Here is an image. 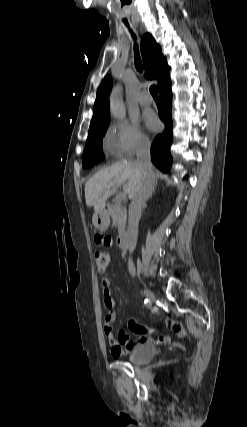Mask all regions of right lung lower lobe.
<instances>
[{
	"label": "right lung lower lobe",
	"mask_w": 247,
	"mask_h": 427,
	"mask_svg": "<svg viewBox=\"0 0 247 427\" xmlns=\"http://www.w3.org/2000/svg\"><path fill=\"white\" fill-rule=\"evenodd\" d=\"M159 117L165 124V130L158 135L151 146V160L161 171L167 172L170 167L172 157L170 155V145L172 143V117H171V80L163 84L159 89Z\"/></svg>",
	"instance_id": "right-lung-lower-lobe-1"
}]
</instances>
